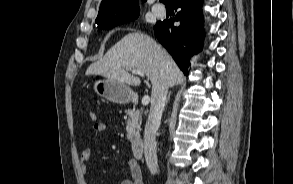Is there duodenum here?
<instances>
[{
    "mask_svg": "<svg viewBox=\"0 0 293 184\" xmlns=\"http://www.w3.org/2000/svg\"><path fill=\"white\" fill-rule=\"evenodd\" d=\"M132 154L134 158L140 159L144 151V142L141 138H135L131 143Z\"/></svg>",
    "mask_w": 293,
    "mask_h": 184,
    "instance_id": "duodenum-1",
    "label": "duodenum"
}]
</instances>
